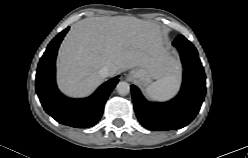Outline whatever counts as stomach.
I'll use <instances>...</instances> for the list:
<instances>
[{
    "instance_id": "1",
    "label": "stomach",
    "mask_w": 248,
    "mask_h": 158,
    "mask_svg": "<svg viewBox=\"0 0 248 158\" xmlns=\"http://www.w3.org/2000/svg\"><path fill=\"white\" fill-rule=\"evenodd\" d=\"M176 65H177V62H176ZM130 76L136 79L144 87L150 85L154 79L152 74L145 68L133 69L130 72Z\"/></svg>"
}]
</instances>
